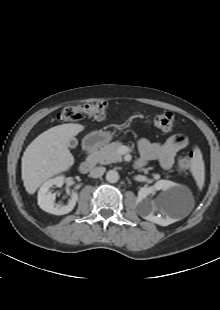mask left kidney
Segmentation results:
<instances>
[{
	"label": "left kidney",
	"mask_w": 220,
	"mask_h": 310,
	"mask_svg": "<svg viewBox=\"0 0 220 310\" xmlns=\"http://www.w3.org/2000/svg\"><path fill=\"white\" fill-rule=\"evenodd\" d=\"M179 188L178 184L169 180H159L151 187H142L138 191L137 203L139 213L144 219L156 223L161 226H167L172 222L169 216L159 217L154 215V211L158 206H164L166 198L159 197L156 201L147 198L154 190H163L168 194L174 193Z\"/></svg>",
	"instance_id": "5707ae66"
}]
</instances>
